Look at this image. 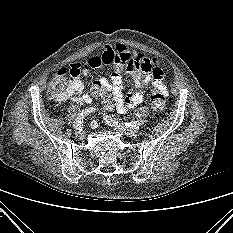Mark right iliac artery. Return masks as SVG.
Returning <instances> with one entry per match:
<instances>
[{
  "mask_svg": "<svg viewBox=\"0 0 233 233\" xmlns=\"http://www.w3.org/2000/svg\"><path fill=\"white\" fill-rule=\"evenodd\" d=\"M94 110H95V108H93V107H90V108L83 110L75 120L74 129L82 130L84 117L86 116V114L91 113Z\"/></svg>",
  "mask_w": 233,
  "mask_h": 233,
  "instance_id": "1",
  "label": "right iliac artery"
}]
</instances>
